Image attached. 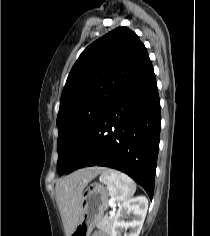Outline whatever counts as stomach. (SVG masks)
Wrapping results in <instances>:
<instances>
[{"label":"stomach","mask_w":210,"mask_h":236,"mask_svg":"<svg viewBox=\"0 0 210 236\" xmlns=\"http://www.w3.org/2000/svg\"><path fill=\"white\" fill-rule=\"evenodd\" d=\"M109 193L100 183H92L82 195L80 216L71 236H90L108 208Z\"/></svg>","instance_id":"0dacf381"}]
</instances>
